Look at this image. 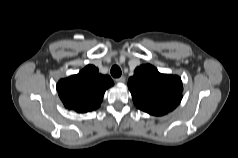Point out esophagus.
<instances>
[{
  "mask_svg": "<svg viewBox=\"0 0 238 158\" xmlns=\"http://www.w3.org/2000/svg\"><path fill=\"white\" fill-rule=\"evenodd\" d=\"M115 82H116V83H124V82H125V77H124V76H121V77H119V78H116V79H115Z\"/></svg>",
  "mask_w": 238,
  "mask_h": 158,
  "instance_id": "1",
  "label": "esophagus"
}]
</instances>
